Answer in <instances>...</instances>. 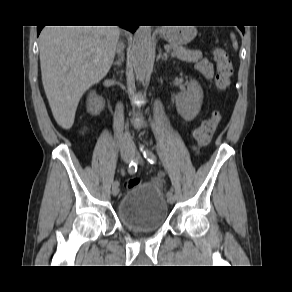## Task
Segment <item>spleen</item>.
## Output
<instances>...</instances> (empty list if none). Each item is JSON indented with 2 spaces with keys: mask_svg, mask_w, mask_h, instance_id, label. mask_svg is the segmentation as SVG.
Masks as SVG:
<instances>
[{
  "mask_svg": "<svg viewBox=\"0 0 292 292\" xmlns=\"http://www.w3.org/2000/svg\"><path fill=\"white\" fill-rule=\"evenodd\" d=\"M230 36H231V39H232V42H233L234 49H237L238 48V44H237V41L235 39V35L231 34Z\"/></svg>",
  "mask_w": 292,
  "mask_h": 292,
  "instance_id": "spleen-1",
  "label": "spleen"
}]
</instances>
